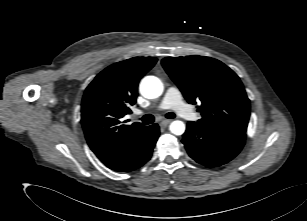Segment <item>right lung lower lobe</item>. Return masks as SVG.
<instances>
[{
    "label": "right lung lower lobe",
    "mask_w": 307,
    "mask_h": 221,
    "mask_svg": "<svg viewBox=\"0 0 307 221\" xmlns=\"http://www.w3.org/2000/svg\"><path fill=\"white\" fill-rule=\"evenodd\" d=\"M159 137L157 124L144 127L134 138L102 162L110 169L129 172L144 165L151 157Z\"/></svg>",
    "instance_id": "1"
}]
</instances>
